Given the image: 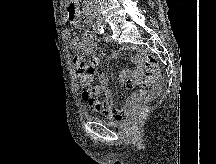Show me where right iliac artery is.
<instances>
[{
  "label": "right iliac artery",
  "mask_w": 216,
  "mask_h": 164,
  "mask_svg": "<svg viewBox=\"0 0 216 164\" xmlns=\"http://www.w3.org/2000/svg\"><path fill=\"white\" fill-rule=\"evenodd\" d=\"M93 29H94L98 34H103V33H104V28H103V26L101 25V23H96V24L93 26Z\"/></svg>",
  "instance_id": "obj_1"
}]
</instances>
